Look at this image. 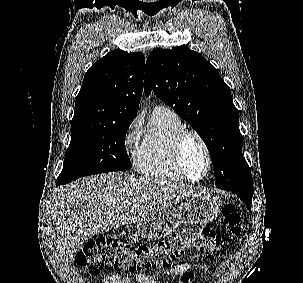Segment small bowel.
<instances>
[{
    "label": "small bowel",
    "instance_id": "c3829d8e",
    "mask_svg": "<svg viewBox=\"0 0 303 283\" xmlns=\"http://www.w3.org/2000/svg\"><path fill=\"white\" fill-rule=\"evenodd\" d=\"M189 265L186 263L177 264L173 267L170 272L164 275H156V276H149L143 273L136 275V282L137 283H159V281L167 276L173 277L177 275H181L185 272H188ZM102 283H131L130 279L127 276L120 275L118 273L107 274Z\"/></svg>",
    "mask_w": 303,
    "mask_h": 283
}]
</instances>
